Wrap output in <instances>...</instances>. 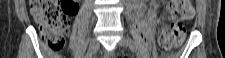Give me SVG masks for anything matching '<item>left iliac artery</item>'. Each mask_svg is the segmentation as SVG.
Listing matches in <instances>:
<instances>
[{
  "mask_svg": "<svg viewBox=\"0 0 225 58\" xmlns=\"http://www.w3.org/2000/svg\"><path fill=\"white\" fill-rule=\"evenodd\" d=\"M130 48L132 50H137V46H136V43L134 41H130Z\"/></svg>",
  "mask_w": 225,
  "mask_h": 58,
  "instance_id": "1",
  "label": "left iliac artery"
}]
</instances>
